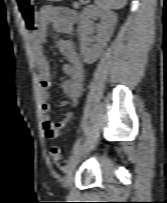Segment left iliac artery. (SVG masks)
I'll list each match as a JSON object with an SVG mask.
<instances>
[{
  "label": "left iliac artery",
  "mask_w": 167,
  "mask_h": 203,
  "mask_svg": "<svg viewBox=\"0 0 167 203\" xmlns=\"http://www.w3.org/2000/svg\"><path fill=\"white\" fill-rule=\"evenodd\" d=\"M80 144H81V138H78L77 141L75 142L74 146H73L72 154H74L77 151V149L79 148Z\"/></svg>",
  "instance_id": "left-iliac-artery-1"
}]
</instances>
